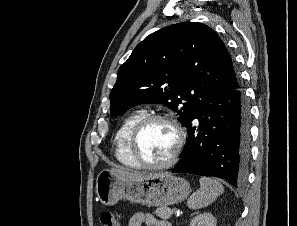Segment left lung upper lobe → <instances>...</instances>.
<instances>
[{"label":"left lung upper lobe","instance_id":"5c2ea615","mask_svg":"<svg viewBox=\"0 0 297 226\" xmlns=\"http://www.w3.org/2000/svg\"><path fill=\"white\" fill-rule=\"evenodd\" d=\"M239 85L216 32L201 23H179L146 37L121 65L110 111L117 116L138 104L158 103L176 111L185 126L205 91Z\"/></svg>","mask_w":297,"mask_h":226}]
</instances>
